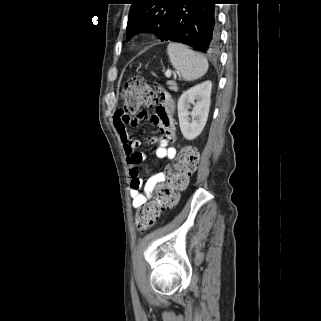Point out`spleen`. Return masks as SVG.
Wrapping results in <instances>:
<instances>
[{"instance_id":"1","label":"spleen","mask_w":321,"mask_h":321,"mask_svg":"<svg viewBox=\"0 0 321 321\" xmlns=\"http://www.w3.org/2000/svg\"><path fill=\"white\" fill-rule=\"evenodd\" d=\"M167 54L172 66L181 73L185 81H194L206 74L208 61L200 53L181 43H169Z\"/></svg>"}]
</instances>
